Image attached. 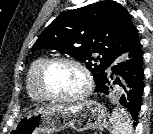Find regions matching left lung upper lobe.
I'll return each instance as SVG.
<instances>
[{
	"label": "left lung upper lobe",
	"mask_w": 153,
	"mask_h": 134,
	"mask_svg": "<svg viewBox=\"0 0 153 134\" xmlns=\"http://www.w3.org/2000/svg\"><path fill=\"white\" fill-rule=\"evenodd\" d=\"M139 45L128 11L106 0L62 12L38 37L32 51L55 49L71 55L85 63L97 85L120 56Z\"/></svg>",
	"instance_id": "obj_1"
}]
</instances>
